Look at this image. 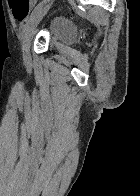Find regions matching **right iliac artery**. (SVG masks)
<instances>
[{
	"mask_svg": "<svg viewBox=\"0 0 140 196\" xmlns=\"http://www.w3.org/2000/svg\"><path fill=\"white\" fill-rule=\"evenodd\" d=\"M41 4L42 3H39V5L32 11V13H31V15H30V18H28L26 21H25V25H24V27L22 28V31H21V39H23V37H24V33H25V31H26V29H27V27H28V24H29V22H30V20H31V18L38 12V10L41 8Z\"/></svg>",
	"mask_w": 140,
	"mask_h": 196,
	"instance_id": "obj_1",
	"label": "right iliac artery"
}]
</instances>
